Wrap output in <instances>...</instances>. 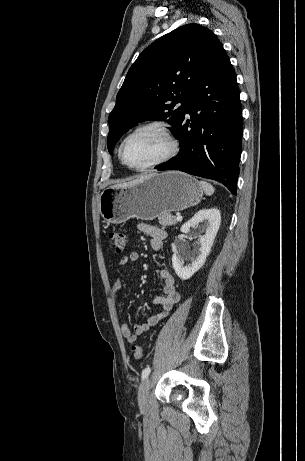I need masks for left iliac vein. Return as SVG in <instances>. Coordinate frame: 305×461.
Here are the masks:
<instances>
[{
	"label": "left iliac vein",
	"mask_w": 305,
	"mask_h": 461,
	"mask_svg": "<svg viewBox=\"0 0 305 461\" xmlns=\"http://www.w3.org/2000/svg\"><path fill=\"white\" fill-rule=\"evenodd\" d=\"M149 389H150V379L145 378L138 390V404L140 408L145 409L149 404Z\"/></svg>",
	"instance_id": "4c4485c4"
}]
</instances>
